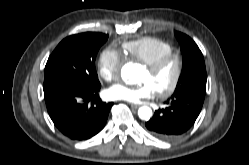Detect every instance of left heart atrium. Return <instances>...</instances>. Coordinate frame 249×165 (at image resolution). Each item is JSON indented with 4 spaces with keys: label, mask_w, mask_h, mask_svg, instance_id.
I'll list each match as a JSON object with an SVG mask.
<instances>
[{
    "label": "left heart atrium",
    "mask_w": 249,
    "mask_h": 165,
    "mask_svg": "<svg viewBox=\"0 0 249 165\" xmlns=\"http://www.w3.org/2000/svg\"><path fill=\"white\" fill-rule=\"evenodd\" d=\"M154 91L155 89L149 82L143 81L137 86L115 83L107 89L106 93L110 99L137 103L142 99L151 97Z\"/></svg>",
    "instance_id": "obj_1"
}]
</instances>
